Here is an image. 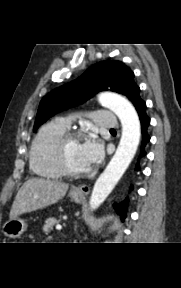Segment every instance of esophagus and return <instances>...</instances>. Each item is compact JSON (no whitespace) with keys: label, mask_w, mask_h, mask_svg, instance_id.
<instances>
[{"label":"esophagus","mask_w":181,"mask_h":288,"mask_svg":"<svg viewBox=\"0 0 181 288\" xmlns=\"http://www.w3.org/2000/svg\"><path fill=\"white\" fill-rule=\"evenodd\" d=\"M72 191H73L74 193L78 194V195L85 196V195H87V194L89 193L90 188H89L88 185L83 184V185L74 187V188L72 189Z\"/></svg>","instance_id":"esophagus-1"}]
</instances>
